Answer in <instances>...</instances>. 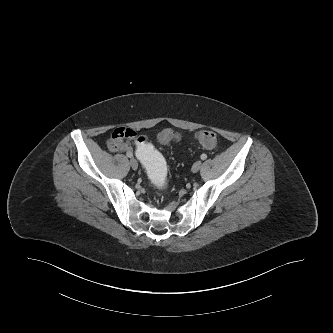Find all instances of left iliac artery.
Listing matches in <instances>:
<instances>
[{
	"instance_id": "44dca946",
	"label": "left iliac artery",
	"mask_w": 333,
	"mask_h": 333,
	"mask_svg": "<svg viewBox=\"0 0 333 333\" xmlns=\"http://www.w3.org/2000/svg\"><path fill=\"white\" fill-rule=\"evenodd\" d=\"M206 158H207V155H206V154H202V155H201V159H202V160H205Z\"/></svg>"
}]
</instances>
